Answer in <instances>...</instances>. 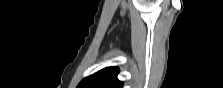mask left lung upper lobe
Returning a JSON list of instances; mask_svg holds the SVG:
<instances>
[{
	"mask_svg": "<svg viewBox=\"0 0 223 88\" xmlns=\"http://www.w3.org/2000/svg\"><path fill=\"white\" fill-rule=\"evenodd\" d=\"M118 67H108L83 79L77 88H122L123 82L117 79Z\"/></svg>",
	"mask_w": 223,
	"mask_h": 88,
	"instance_id": "5c2ea615",
	"label": "left lung upper lobe"
}]
</instances>
